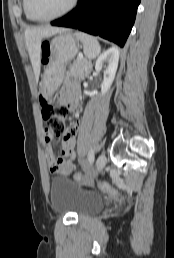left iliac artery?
Returning a JSON list of instances; mask_svg holds the SVG:
<instances>
[{
	"label": "left iliac artery",
	"mask_w": 174,
	"mask_h": 258,
	"mask_svg": "<svg viewBox=\"0 0 174 258\" xmlns=\"http://www.w3.org/2000/svg\"><path fill=\"white\" fill-rule=\"evenodd\" d=\"M88 161L90 164H92L94 161V151L93 150H91L88 154Z\"/></svg>",
	"instance_id": "obj_1"
}]
</instances>
